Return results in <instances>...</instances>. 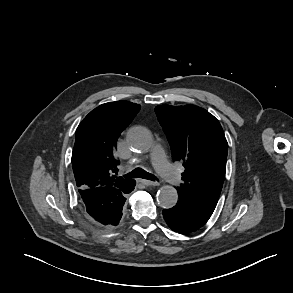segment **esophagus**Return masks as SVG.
Listing matches in <instances>:
<instances>
[{"label": "esophagus", "instance_id": "obj_1", "mask_svg": "<svg viewBox=\"0 0 293 293\" xmlns=\"http://www.w3.org/2000/svg\"><path fill=\"white\" fill-rule=\"evenodd\" d=\"M140 182L142 184H144L145 186H157V185H159V182H157V181H150V180H146V179H141Z\"/></svg>", "mask_w": 293, "mask_h": 293}]
</instances>
